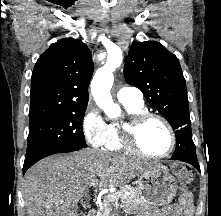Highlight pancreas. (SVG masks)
Here are the masks:
<instances>
[{
    "label": "pancreas",
    "mask_w": 221,
    "mask_h": 216,
    "mask_svg": "<svg viewBox=\"0 0 221 216\" xmlns=\"http://www.w3.org/2000/svg\"><path fill=\"white\" fill-rule=\"evenodd\" d=\"M122 190L129 191L130 195L127 196L122 192L117 196L106 197L103 202V207L97 211L95 216H118L114 209L115 198L121 200V206L128 212H130L134 207L142 204L138 191L134 187L126 186Z\"/></svg>",
    "instance_id": "pancreas-1"
}]
</instances>
